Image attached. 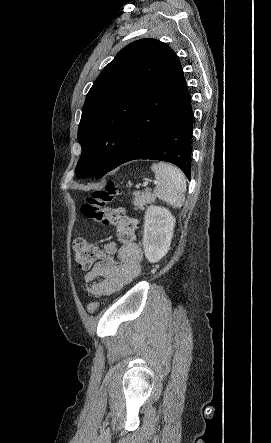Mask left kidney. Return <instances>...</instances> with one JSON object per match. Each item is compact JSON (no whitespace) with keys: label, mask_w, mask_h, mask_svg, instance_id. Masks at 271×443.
Instances as JSON below:
<instances>
[{"label":"left kidney","mask_w":271,"mask_h":443,"mask_svg":"<svg viewBox=\"0 0 271 443\" xmlns=\"http://www.w3.org/2000/svg\"><path fill=\"white\" fill-rule=\"evenodd\" d=\"M143 249L151 263L160 261L170 249L175 218L166 208L149 206L145 212Z\"/></svg>","instance_id":"5707ae66"}]
</instances>
